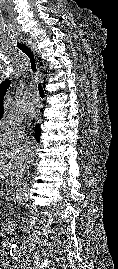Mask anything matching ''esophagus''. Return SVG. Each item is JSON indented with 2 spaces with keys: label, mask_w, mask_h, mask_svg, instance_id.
<instances>
[{
  "label": "esophagus",
  "mask_w": 118,
  "mask_h": 269,
  "mask_svg": "<svg viewBox=\"0 0 118 269\" xmlns=\"http://www.w3.org/2000/svg\"><path fill=\"white\" fill-rule=\"evenodd\" d=\"M23 42L29 46V48L32 50V52L34 54L37 53L36 47H35L34 43L31 41V39H28V38L23 39Z\"/></svg>",
  "instance_id": "esophagus-1"
}]
</instances>
